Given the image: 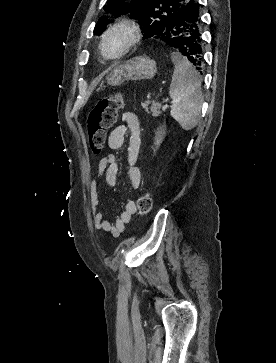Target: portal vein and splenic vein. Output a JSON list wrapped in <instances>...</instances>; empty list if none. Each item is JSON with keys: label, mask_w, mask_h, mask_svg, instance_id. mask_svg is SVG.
<instances>
[{"label": "portal vein and splenic vein", "mask_w": 276, "mask_h": 363, "mask_svg": "<svg viewBox=\"0 0 276 363\" xmlns=\"http://www.w3.org/2000/svg\"><path fill=\"white\" fill-rule=\"evenodd\" d=\"M162 108L163 109H167L168 108V104H164Z\"/></svg>", "instance_id": "portal-vein-and-splenic-vein-1"}]
</instances>
